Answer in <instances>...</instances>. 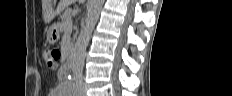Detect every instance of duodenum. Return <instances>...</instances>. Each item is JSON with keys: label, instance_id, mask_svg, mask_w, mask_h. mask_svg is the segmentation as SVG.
Instances as JSON below:
<instances>
[{"label": "duodenum", "instance_id": "410a0bca", "mask_svg": "<svg viewBox=\"0 0 232 96\" xmlns=\"http://www.w3.org/2000/svg\"><path fill=\"white\" fill-rule=\"evenodd\" d=\"M74 54H75V48L74 47H70L68 49V54H67V59L66 62L63 66V70H62V75L67 78L68 75H70L73 66H74Z\"/></svg>", "mask_w": 232, "mask_h": 96}]
</instances>
